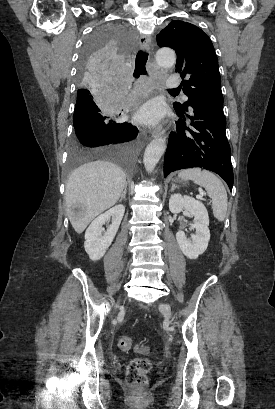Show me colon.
I'll return each mask as SVG.
<instances>
[{
	"label": "colon",
	"mask_w": 275,
	"mask_h": 409,
	"mask_svg": "<svg viewBox=\"0 0 275 409\" xmlns=\"http://www.w3.org/2000/svg\"><path fill=\"white\" fill-rule=\"evenodd\" d=\"M119 347L123 350H130L134 347V342L131 337L123 336L119 339ZM142 349L140 346L137 348ZM152 363L147 357H139L130 361L127 371L126 380L130 386H145L147 375L151 371Z\"/></svg>",
	"instance_id": "5ec220e1"
}]
</instances>
